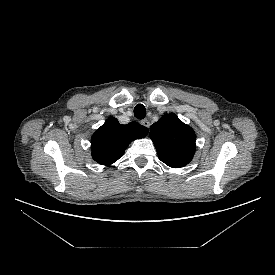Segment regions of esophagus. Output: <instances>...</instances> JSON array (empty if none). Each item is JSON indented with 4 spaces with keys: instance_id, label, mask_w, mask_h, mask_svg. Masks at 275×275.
Segmentation results:
<instances>
[{
    "instance_id": "1",
    "label": "esophagus",
    "mask_w": 275,
    "mask_h": 275,
    "mask_svg": "<svg viewBox=\"0 0 275 275\" xmlns=\"http://www.w3.org/2000/svg\"><path fill=\"white\" fill-rule=\"evenodd\" d=\"M141 124L146 128H150V122L147 119L142 120Z\"/></svg>"
}]
</instances>
